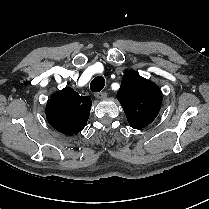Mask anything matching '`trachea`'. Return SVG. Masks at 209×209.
Masks as SVG:
<instances>
[{"label":"trachea","mask_w":209,"mask_h":209,"mask_svg":"<svg viewBox=\"0 0 209 209\" xmlns=\"http://www.w3.org/2000/svg\"><path fill=\"white\" fill-rule=\"evenodd\" d=\"M105 86V79L102 76H97L90 83V89L92 92H100Z\"/></svg>","instance_id":"trachea-1"}]
</instances>
